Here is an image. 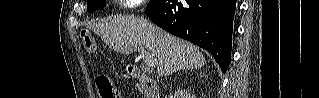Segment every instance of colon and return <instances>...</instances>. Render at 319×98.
<instances>
[{"label": "colon", "mask_w": 319, "mask_h": 98, "mask_svg": "<svg viewBox=\"0 0 319 98\" xmlns=\"http://www.w3.org/2000/svg\"><path fill=\"white\" fill-rule=\"evenodd\" d=\"M81 38L83 45L87 52L94 53L96 51V43L91 31L85 29L81 32ZM96 86L101 98H117V92L115 91L111 80L104 75H99L95 79Z\"/></svg>", "instance_id": "obj_1"}]
</instances>
